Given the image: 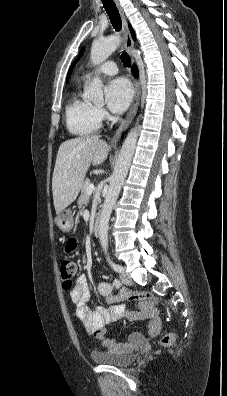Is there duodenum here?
<instances>
[{
	"label": "duodenum",
	"instance_id": "410a0bca",
	"mask_svg": "<svg viewBox=\"0 0 227 396\" xmlns=\"http://www.w3.org/2000/svg\"><path fill=\"white\" fill-rule=\"evenodd\" d=\"M101 224L99 220H96L93 226V232L96 236L100 234Z\"/></svg>",
	"mask_w": 227,
	"mask_h": 396
}]
</instances>
